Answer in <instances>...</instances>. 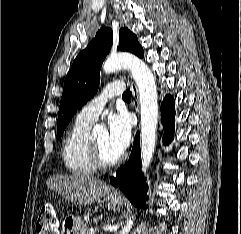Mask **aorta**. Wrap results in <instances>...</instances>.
Instances as JSON below:
<instances>
[{
  "instance_id": "aorta-1",
  "label": "aorta",
  "mask_w": 241,
  "mask_h": 234,
  "mask_svg": "<svg viewBox=\"0 0 241 234\" xmlns=\"http://www.w3.org/2000/svg\"><path fill=\"white\" fill-rule=\"evenodd\" d=\"M120 69L130 70L133 79L135 80L140 101L141 114V159L142 171H147L156 146L157 125H158V93L155 83V78L149 67L138 57L120 53L109 57L103 64L105 73H113ZM98 127L94 128V131ZM133 221L130 218L127 225L120 234H128L132 228Z\"/></svg>"
}]
</instances>
